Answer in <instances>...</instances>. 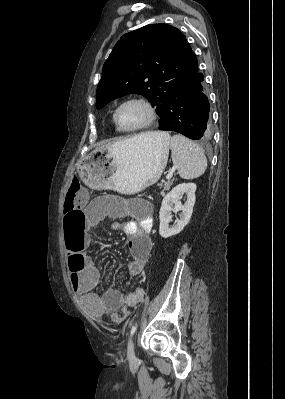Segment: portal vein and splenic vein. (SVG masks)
I'll list each match as a JSON object with an SVG mask.
<instances>
[{"mask_svg":"<svg viewBox=\"0 0 285 399\" xmlns=\"http://www.w3.org/2000/svg\"><path fill=\"white\" fill-rule=\"evenodd\" d=\"M174 171H175V170H171V171L167 174L166 178H167V179L172 178L173 172H174Z\"/></svg>","mask_w":285,"mask_h":399,"instance_id":"18ae733b","label":"portal vein and splenic vein"}]
</instances>
